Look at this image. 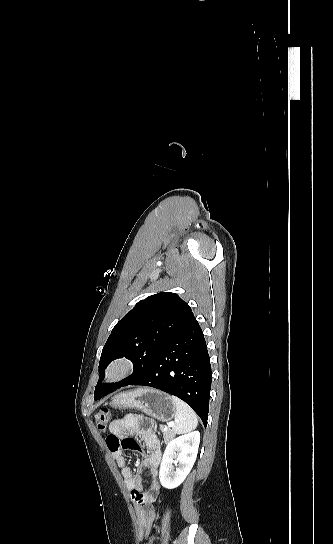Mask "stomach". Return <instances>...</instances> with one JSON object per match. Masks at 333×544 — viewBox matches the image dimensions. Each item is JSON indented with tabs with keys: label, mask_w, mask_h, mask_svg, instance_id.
I'll return each instance as SVG.
<instances>
[{
	"label": "stomach",
	"mask_w": 333,
	"mask_h": 544,
	"mask_svg": "<svg viewBox=\"0 0 333 544\" xmlns=\"http://www.w3.org/2000/svg\"><path fill=\"white\" fill-rule=\"evenodd\" d=\"M111 406L119 409H135L159 421H170L176 412L171 396L152 388H138L122 392L112 398Z\"/></svg>",
	"instance_id": "stomach-1"
}]
</instances>
